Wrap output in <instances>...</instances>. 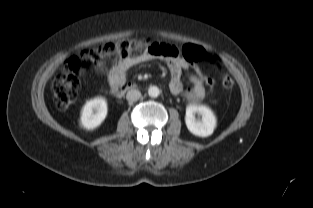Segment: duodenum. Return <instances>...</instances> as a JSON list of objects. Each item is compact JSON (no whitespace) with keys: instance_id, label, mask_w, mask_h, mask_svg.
Listing matches in <instances>:
<instances>
[{"instance_id":"obj_1","label":"duodenum","mask_w":313,"mask_h":208,"mask_svg":"<svg viewBox=\"0 0 313 208\" xmlns=\"http://www.w3.org/2000/svg\"><path fill=\"white\" fill-rule=\"evenodd\" d=\"M135 88V84L133 83H127V84H121L116 87H114V90L117 95H120L128 90H132Z\"/></svg>"}]
</instances>
